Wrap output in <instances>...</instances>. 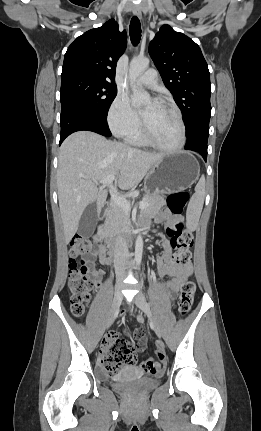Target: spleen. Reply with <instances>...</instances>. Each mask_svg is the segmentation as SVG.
<instances>
[{
    "mask_svg": "<svg viewBox=\"0 0 261 431\" xmlns=\"http://www.w3.org/2000/svg\"><path fill=\"white\" fill-rule=\"evenodd\" d=\"M205 198V177L201 176L196 187L195 193L190 199L188 210L195 216H200Z\"/></svg>",
    "mask_w": 261,
    "mask_h": 431,
    "instance_id": "spleen-1",
    "label": "spleen"
}]
</instances>
